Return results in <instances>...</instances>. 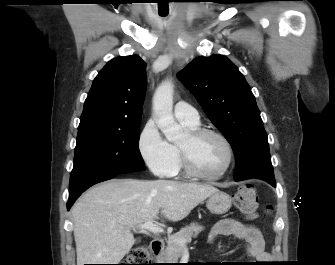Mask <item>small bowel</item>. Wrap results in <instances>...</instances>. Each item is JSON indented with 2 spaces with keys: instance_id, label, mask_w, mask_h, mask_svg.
<instances>
[{
  "instance_id": "c3829d8e",
  "label": "small bowel",
  "mask_w": 335,
  "mask_h": 265,
  "mask_svg": "<svg viewBox=\"0 0 335 265\" xmlns=\"http://www.w3.org/2000/svg\"><path fill=\"white\" fill-rule=\"evenodd\" d=\"M219 236H233L245 242L248 256L265 263L269 260V254L265 250V241L260 230L232 218H225L217 222L209 233L208 241L212 243Z\"/></svg>"
}]
</instances>
